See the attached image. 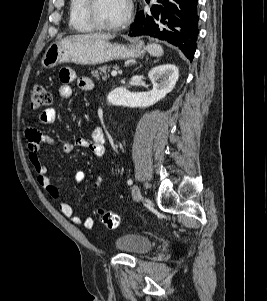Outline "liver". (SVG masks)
Wrapping results in <instances>:
<instances>
[{"mask_svg":"<svg viewBox=\"0 0 267 301\" xmlns=\"http://www.w3.org/2000/svg\"><path fill=\"white\" fill-rule=\"evenodd\" d=\"M114 38L112 35L103 34V33H94V34H85V35H73L69 36L66 39L76 40V41H84L90 39H101V40H109Z\"/></svg>","mask_w":267,"mask_h":301,"instance_id":"obj_1","label":"liver"}]
</instances>
